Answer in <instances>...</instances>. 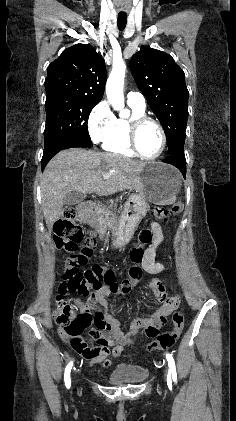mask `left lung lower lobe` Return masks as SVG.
I'll return each mask as SVG.
<instances>
[{
  "mask_svg": "<svg viewBox=\"0 0 236 421\" xmlns=\"http://www.w3.org/2000/svg\"><path fill=\"white\" fill-rule=\"evenodd\" d=\"M163 162L174 165L181 171L183 177H186V161L184 151L167 155Z\"/></svg>",
  "mask_w": 236,
  "mask_h": 421,
  "instance_id": "1",
  "label": "left lung lower lobe"
}]
</instances>
